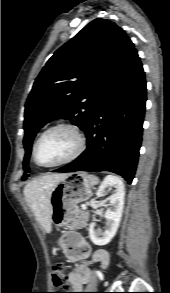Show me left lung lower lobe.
I'll use <instances>...</instances> for the list:
<instances>
[{
	"instance_id": "1",
	"label": "left lung lower lobe",
	"mask_w": 170,
	"mask_h": 293,
	"mask_svg": "<svg viewBox=\"0 0 170 293\" xmlns=\"http://www.w3.org/2000/svg\"><path fill=\"white\" fill-rule=\"evenodd\" d=\"M145 74L134 48L110 81L84 129L86 150L54 172L110 171L132 182L142 141Z\"/></svg>"
}]
</instances>
